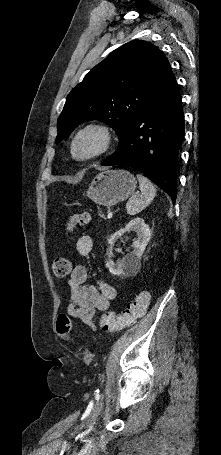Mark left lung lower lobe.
<instances>
[{"instance_id":"0a47b994","label":"left lung lower lobe","mask_w":221,"mask_h":455,"mask_svg":"<svg viewBox=\"0 0 221 455\" xmlns=\"http://www.w3.org/2000/svg\"><path fill=\"white\" fill-rule=\"evenodd\" d=\"M184 138L181 95L174 74L137 115L118 149L101 165L132 167L171 196L177 195V160Z\"/></svg>"}]
</instances>
